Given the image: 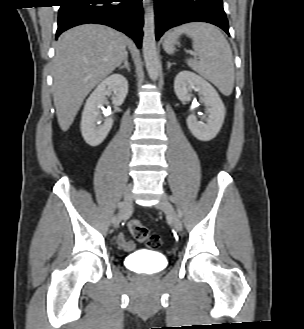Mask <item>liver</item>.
I'll return each instance as SVG.
<instances>
[{"instance_id":"6515ba94","label":"liver","mask_w":304,"mask_h":329,"mask_svg":"<svg viewBox=\"0 0 304 329\" xmlns=\"http://www.w3.org/2000/svg\"><path fill=\"white\" fill-rule=\"evenodd\" d=\"M126 55L124 35L104 25H80L59 37L53 59V99L63 131L72 125L89 92L119 67Z\"/></svg>"}]
</instances>
